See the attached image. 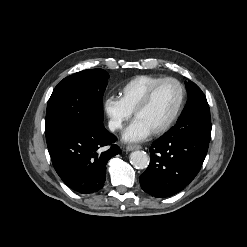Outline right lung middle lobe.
Returning a JSON list of instances; mask_svg holds the SVG:
<instances>
[{
  "label": "right lung middle lobe",
  "instance_id": "obj_1",
  "mask_svg": "<svg viewBox=\"0 0 247 247\" xmlns=\"http://www.w3.org/2000/svg\"><path fill=\"white\" fill-rule=\"evenodd\" d=\"M108 78L103 69L83 70L64 78L47 104L46 139L67 131L102 125V97Z\"/></svg>",
  "mask_w": 247,
  "mask_h": 247
}]
</instances>
